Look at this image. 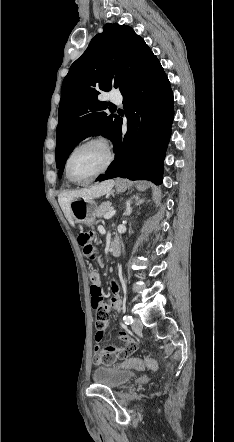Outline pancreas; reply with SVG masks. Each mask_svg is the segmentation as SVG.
<instances>
[{
	"label": "pancreas",
	"instance_id": "pancreas-1",
	"mask_svg": "<svg viewBox=\"0 0 234 442\" xmlns=\"http://www.w3.org/2000/svg\"><path fill=\"white\" fill-rule=\"evenodd\" d=\"M111 202H103L96 211L97 217H102L104 214H106L109 210H111Z\"/></svg>",
	"mask_w": 234,
	"mask_h": 442
}]
</instances>
